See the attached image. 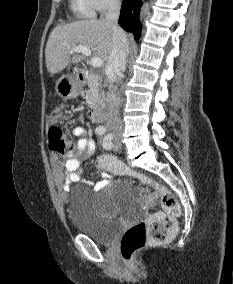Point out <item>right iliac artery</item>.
<instances>
[{
  "mask_svg": "<svg viewBox=\"0 0 233 284\" xmlns=\"http://www.w3.org/2000/svg\"><path fill=\"white\" fill-rule=\"evenodd\" d=\"M105 131H106V128L103 127V126H99V127L96 128V133L98 135H103L105 133Z\"/></svg>",
  "mask_w": 233,
  "mask_h": 284,
  "instance_id": "obj_1",
  "label": "right iliac artery"
}]
</instances>
